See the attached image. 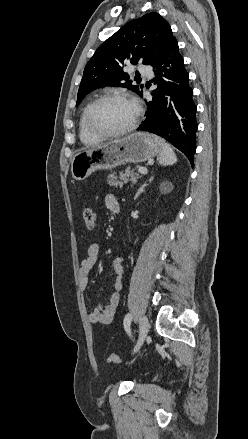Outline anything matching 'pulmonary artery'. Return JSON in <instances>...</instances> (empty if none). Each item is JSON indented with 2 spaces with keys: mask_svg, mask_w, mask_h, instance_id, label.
<instances>
[{
  "mask_svg": "<svg viewBox=\"0 0 248 439\" xmlns=\"http://www.w3.org/2000/svg\"><path fill=\"white\" fill-rule=\"evenodd\" d=\"M138 71L142 76L153 77V72L145 65H140Z\"/></svg>",
  "mask_w": 248,
  "mask_h": 439,
  "instance_id": "obj_1",
  "label": "pulmonary artery"
}]
</instances>
